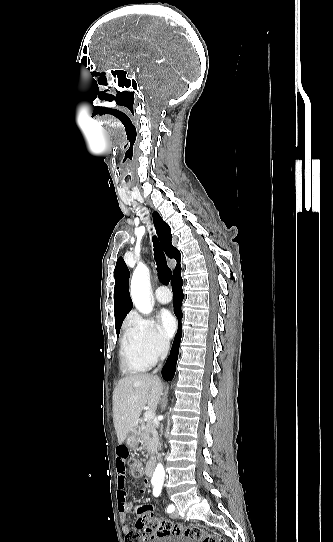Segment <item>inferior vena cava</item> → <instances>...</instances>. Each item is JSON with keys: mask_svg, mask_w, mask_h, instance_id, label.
<instances>
[{"mask_svg": "<svg viewBox=\"0 0 333 542\" xmlns=\"http://www.w3.org/2000/svg\"><path fill=\"white\" fill-rule=\"evenodd\" d=\"M169 340H165V342H163V348H162V352H161V360H165L167 354H168V350H169ZM160 368V366H159ZM159 368H156V370H154V372H152V374H157Z\"/></svg>", "mask_w": 333, "mask_h": 542, "instance_id": "obj_1", "label": "inferior vena cava"}]
</instances>
